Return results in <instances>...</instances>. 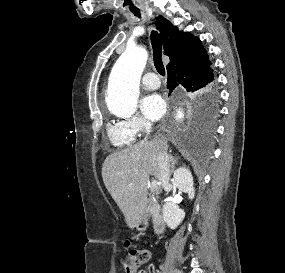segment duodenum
I'll return each instance as SVG.
<instances>
[{
	"label": "duodenum",
	"instance_id": "obj_1",
	"mask_svg": "<svg viewBox=\"0 0 285 273\" xmlns=\"http://www.w3.org/2000/svg\"><path fill=\"white\" fill-rule=\"evenodd\" d=\"M144 211L146 213L152 214L153 216V233L155 235L162 234L165 228V222L162 215L160 214L158 204L153 197H149L147 199ZM139 224L140 226H143L145 224V220L142 219Z\"/></svg>",
	"mask_w": 285,
	"mask_h": 273
}]
</instances>
